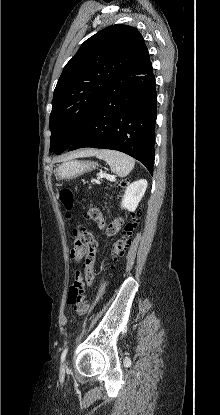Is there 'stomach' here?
I'll return each instance as SVG.
<instances>
[{"mask_svg":"<svg viewBox=\"0 0 220 415\" xmlns=\"http://www.w3.org/2000/svg\"><path fill=\"white\" fill-rule=\"evenodd\" d=\"M96 167V163L90 161L72 160L61 164L58 168V176L61 178L78 177Z\"/></svg>","mask_w":220,"mask_h":415,"instance_id":"1","label":"stomach"}]
</instances>
